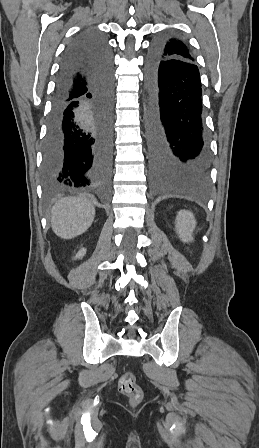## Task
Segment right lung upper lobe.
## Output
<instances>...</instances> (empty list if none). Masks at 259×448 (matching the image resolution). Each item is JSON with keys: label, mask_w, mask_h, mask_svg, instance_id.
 <instances>
[{"label": "right lung upper lobe", "mask_w": 259, "mask_h": 448, "mask_svg": "<svg viewBox=\"0 0 259 448\" xmlns=\"http://www.w3.org/2000/svg\"><path fill=\"white\" fill-rule=\"evenodd\" d=\"M75 81H76V85H84V83H86V76L84 75V73H78L75 76Z\"/></svg>", "instance_id": "obj_1"}]
</instances>
